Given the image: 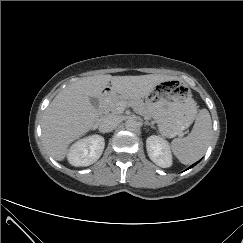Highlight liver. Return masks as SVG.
Segmentation results:
<instances>
[{
    "label": "liver",
    "mask_w": 243,
    "mask_h": 243,
    "mask_svg": "<svg viewBox=\"0 0 243 243\" xmlns=\"http://www.w3.org/2000/svg\"><path fill=\"white\" fill-rule=\"evenodd\" d=\"M174 77L164 75L111 76L97 75L82 78L67 86L46 108L41 128L42 141L48 153L58 161L64 160L69 145L93 128L98 118L90 98L120 94L125 98L140 99L153 88ZM109 93L103 91L108 88Z\"/></svg>",
    "instance_id": "liver-1"
}]
</instances>
